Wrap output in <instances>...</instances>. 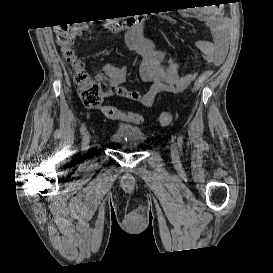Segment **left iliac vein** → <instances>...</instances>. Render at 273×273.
Listing matches in <instances>:
<instances>
[{
  "instance_id": "obj_1",
  "label": "left iliac vein",
  "mask_w": 273,
  "mask_h": 273,
  "mask_svg": "<svg viewBox=\"0 0 273 273\" xmlns=\"http://www.w3.org/2000/svg\"><path fill=\"white\" fill-rule=\"evenodd\" d=\"M171 158L173 162L178 163L179 162V153L177 144L175 142H172L171 144Z\"/></svg>"
}]
</instances>
